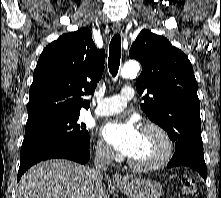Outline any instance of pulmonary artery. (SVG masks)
Returning <instances> with one entry per match:
<instances>
[{
  "instance_id": "obj_1",
  "label": "pulmonary artery",
  "mask_w": 221,
  "mask_h": 198,
  "mask_svg": "<svg viewBox=\"0 0 221 198\" xmlns=\"http://www.w3.org/2000/svg\"><path fill=\"white\" fill-rule=\"evenodd\" d=\"M133 96V88L130 86H125L118 95L98 99V106L95 113L99 116L119 113L126 107L127 102L131 100Z\"/></svg>"
}]
</instances>
